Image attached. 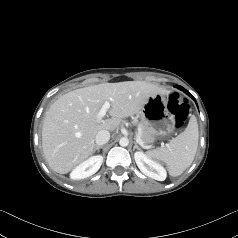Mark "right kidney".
I'll use <instances>...</instances> for the list:
<instances>
[{
  "label": "right kidney",
  "instance_id": "right-kidney-1",
  "mask_svg": "<svg viewBox=\"0 0 238 238\" xmlns=\"http://www.w3.org/2000/svg\"><path fill=\"white\" fill-rule=\"evenodd\" d=\"M102 162L103 157L101 155L92 156L75 167L70 174V178L73 180L87 178L99 170Z\"/></svg>",
  "mask_w": 238,
  "mask_h": 238
}]
</instances>
